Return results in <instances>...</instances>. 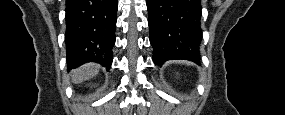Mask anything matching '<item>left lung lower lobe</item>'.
<instances>
[{
  "label": "left lung lower lobe",
  "instance_id": "left-lung-lower-lobe-1",
  "mask_svg": "<svg viewBox=\"0 0 285 115\" xmlns=\"http://www.w3.org/2000/svg\"><path fill=\"white\" fill-rule=\"evenodd\" d=\"M150 43L156 65L170 59L199 64L201 0H147Z\"/></svg>",
  "mask_w": 285,
  "mask_h": 115
}]
</instances>
